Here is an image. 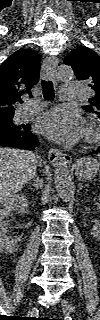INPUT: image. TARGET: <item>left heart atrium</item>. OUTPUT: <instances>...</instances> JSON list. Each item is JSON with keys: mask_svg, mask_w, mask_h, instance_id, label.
Segmentation results:
<instances>
[{"mask_svg": "<svg viewBox=\"0 0 100 320\" xmlns=\"http://www.w3.org/2000/svg\"><path fill=\"white\" fill-rule=\"evenodd\" d=\"M36 128L54 142L65 145L75 144L83 134L79 114L59 107L41 115Z\"/></svg>", "mask_w": 100, "mask_h": 320, "instance_id": "39dd6f15", "label": "left heart atrium"}]
</instances>
